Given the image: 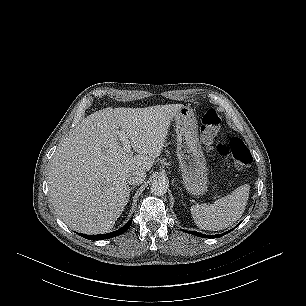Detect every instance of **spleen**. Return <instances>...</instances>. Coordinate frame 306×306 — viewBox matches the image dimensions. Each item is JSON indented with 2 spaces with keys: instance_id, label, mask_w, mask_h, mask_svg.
<instances>
[{
  "instance_id": "obj_1",
  "label": "spleen",
  "mask_w": 306,
  "mask_h": 306,
  "mask_svg": "<svg viewBox=\"0 0 306 306\" xmlns=\"http://www.w3.org/2000/svg\"><path fill=\"white\" fill-rule=\"evenodd\" d=\"M250 186L245 184L213 204H197L190 209L195 224L204 230L218 231L235 223L245 211Z\"/></svg>"
}]
</instances>
